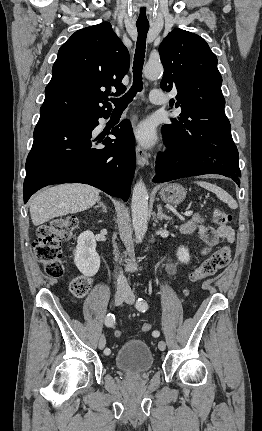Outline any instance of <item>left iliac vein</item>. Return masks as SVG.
<instances>
[{"label": "left iliac vein", "instance_id": "4c4485c4", "mask_svg": "<svg viewBox=\"0 0 262 431\" xmlns=\"http://www.w3.org/2000/svg\"><path fill=\"white\" fill-rule=\"evenodd\" d=\"M134 300H135L134 295L133 294H128L127 297H126V299H125V302L128 303V304H133ZM158 348H159V350L164 351L166 349V343L164 341H162V340L159 341Z\"/></svg>", "mask_w": 262, "mask_h": 431}]
</instances>
